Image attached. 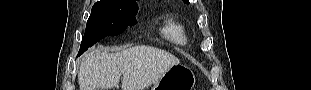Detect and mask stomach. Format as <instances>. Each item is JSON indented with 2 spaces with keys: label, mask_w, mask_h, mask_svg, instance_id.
Listing matches in <instances>:
<instances>
[{
  "label": "stomach",
  "mask_w": 311,
  "mask_h": 90,
  "mask_svg": "<svg viewBox=\"0 0 311 90\" xmlns=\"http://www.w3.org/2000/svg\"><path fill=\"white\" fill-rule=\"evenodd\" d=\"M195 75L187 66L177 64L169 68L151 90H193Z\"/></svg>",
  "instance_id": "0dacf381"
}]
</instances>
